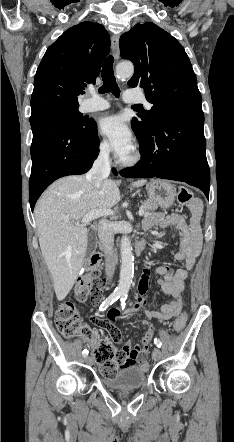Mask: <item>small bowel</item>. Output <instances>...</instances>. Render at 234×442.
<instances>
[{
	"mask_svg": "<svg viewBox=\"0 0 234 442\" xmlns=\"http://www.w3.org/2000/svg\"><path fill=\"white\" fill-rule=\"evenodd\" d=\"M202 210L201 201L195 199L189 206L188 215L153 213L144 219L143 226L147 230L153 227L165 228L168 226H172L176 230L181 243L179 250L174 254V260L181 262L182 265L175 271L165 265L158 266L155 270L160 275L157 281L158 285L166 295L173 297L172 301L161 306L160 311L146 308L145 294L148 290L151 273L148 268H144L137 287L139 298L132 306L133 311H142L147 318L159 322L170 320L180 314L184 302L185 280L201 251L202 234L199 222ZM119 315L120 312L116 309H112L108 314H102L100 317L93 314L90 317L91 325L94 328L99 327L103 331H108V335L113 336V343L119 344L122 341L120 328L114 322ZM153 333V328L149 327L142 338L141 346H132L130 341L123 344L121 352L125 356V366H128L129 369H135L136 364H142L143 360L149 357L146 351L149 348Z\"/></svg>",
	"mask_w": 234,
	"mask_h": 442,
	"instance_id": "small-bowel-1",
	"label": "small bowel"
}]
</instances>
